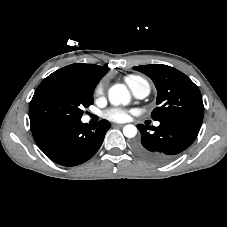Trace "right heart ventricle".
<instances>
[{
  "mask_svg": "<svg viewBox=\"0 0 227 227\" xmlns=\"http://www.w3.org/2000/svg\"><path fill=\"white\" fill-rule=\"evenodd\" d=\"M125 82L132 89L139 84H147V81L138 75H128L125 77ZM149 86V85H148Z\"/></svg>",
  "mask_w": 227,
  "mask_h": 227,
  "instance_id": "e07e8e85",
  "label": "right heart ventricle"
}]
</instances>
